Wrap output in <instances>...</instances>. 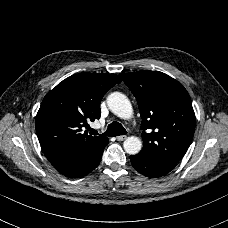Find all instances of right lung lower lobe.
Segmentation results:
<instances>
[{"instance_id": "98d812e1", "label": "right lung lower lobe", "mask_w": 228, "mask_h": 228, "mask_svg": "<svg viewBox=\"0 0 228 228\" xmlns=\"http://www.w3.org/2000/svg\"><path fill=\"white\" fill-rule=\"evenodd\" d=\"M108 138L95 142L83 153L65 160L51 162L63 175L68 177H83L94 170L100 163Z\"/></svg>"}]
</instances>
